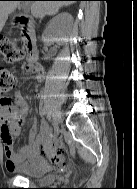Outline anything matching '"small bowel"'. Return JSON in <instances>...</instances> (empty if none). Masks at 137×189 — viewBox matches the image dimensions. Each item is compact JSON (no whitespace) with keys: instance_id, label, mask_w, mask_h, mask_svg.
<instances>
[{"instance_id":"small-bowel-1","label":"small bowel","mask_w":137,"mask_h":189,"mask_svg":"<svg viewBox=\"0 0 137 189\" xmlns=\"http://www.w3.org/2000/svg\"><path fill=\"white\" fill-rule=\"evenodd\" d=\"M25 74L37 82L44 79V71L39 65L34 69L26 68ZM28 111V103L19 92L15 93L13 102L9 104L0 101V137L6 157L5 167L10 172H26L41 166L45 156L43 150L57 148L48 127L45 124L38 127L36 123L31 126L29 143L19 149L14 148L13 138L20 133Z\"/></svg>"}]
</instances>
